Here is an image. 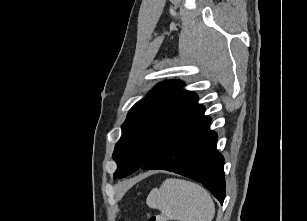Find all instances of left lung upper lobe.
Here are the masks:
<instances>
[{
    "label": "left lung upper lobe",
    "mask_w": 307,
    "mask_h": 221,
    "mask_svg": "<svg viewBox=\"0 0 307 221\" xmlns=\"http://www.w3.org/2000/svg\"><path fill=\"white\" fill-rule=\"evenodd\" d=\"M182 82L158 84L137 102L122 125L113 158L118 164L114 178H123L144 166L175 137L204 117L193 92L183 90Z\"/></svg>",
    "instance_id": "5c2ea615"
}]
</instances>
